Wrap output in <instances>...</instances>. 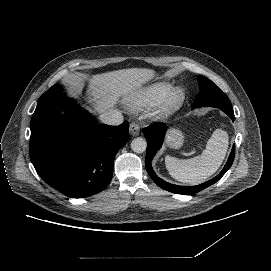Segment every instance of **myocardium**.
Masks as SVG:
<instances>
[{
	"instance_id": "obj_1",
	"label": "myocardium",
	"mask_w": 271,
	"mask_h": 271,
	"mask_svg": "<svg viewBox=\"0 0 271 271\" xmlns=\"http://www.w3.org/2000/svg\"><path fill=\"white\" fill-rule=\"evenodd\" d=\"M186 98V89L182 86L175 87L168 98L163 102L159 112V118L164 119L178 110L183 105Z\"/></svg>"
}]
</instances>
